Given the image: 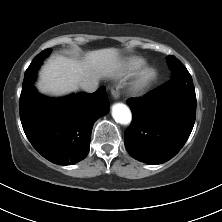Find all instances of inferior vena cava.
Segmentation results:
<instances>
[{
	"instance_id": "inferior-vena-cava-1",
	"label": "inferior vena cava",
	"mask_w": 222,
	"mask_h": 222,
	"mask_svg": "<svg viewBox=\"0 0 222 222\" xmlns=\"http://www.w3.org/2000/svg\"><path fill=\"white\" fill-rule=\"evenodd\" d=\"M80 87L88 93L95 92L98 88L97 80H86L80 83Z\"/></svg>"
}]
</instances>
